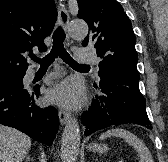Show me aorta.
Returning <instances> with one entry per match:
<instances>
[{
    "label": "aorta",
    "mask_w": 168,
    "mask_h": 162,
    "mask_svg": "<svg viewBox=\"0 0 168 162\" xmlns=\"http://www.w3.org/2000/svg\"><path fill=\"white\" fill-rule=\"evenodd\" d=\"M69 34L72 37L83 38L88 34V26L82 20H73L69 23ZM80 146V129L77 119L70 118L64 128L61 140L62 162H76Z\"/></svg>",
    "instance_id": "1"
}]
</instances>
